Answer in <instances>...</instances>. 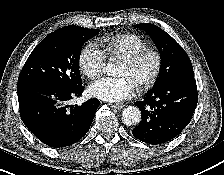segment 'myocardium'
Returning a JSON list of instances; mask_svg holds the SVG:
<instances>
[{"label":"myocardium","mask_w":224,"mask_h":175,"mask_svg":"<svg viewBox=\"0 0 224 175\" xmlns=\"http://www.w3.org/2000/svg\"><path fill=\"white\" fill-rule=\"evenodd\" d=\"M151 56L154 59V67L150 74V76L144 80L143 82L139 83L136 87L138 90H147L151 88L157 81L163 65V58L162 54L159 50L155 48L145 47L138 52L134 53L128 58L123 59V63L127 65L129 68H135L140 64V62L148 57Z\"/></svg>","instance_id":"f54148a6"}]
</instances>
